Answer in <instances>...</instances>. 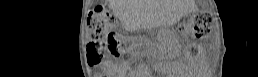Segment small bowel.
I'll use <instances>...</instances> for the list:
<instances>
[{"mask_svg": "<svg viewBox=\"0 0 258 77\" xmlns=\"http://www.w3.org/2000/svg\"><path fill=\"white\" fill-rule=\"evenodd\" d=\"M196 62H197V59H196V58H193V59H192V63L195 65Z\"/></svg>", "mask_w": 258, "mask_h": 77, "instance_id": "1", "label": "small bowel"}]
</instances>
